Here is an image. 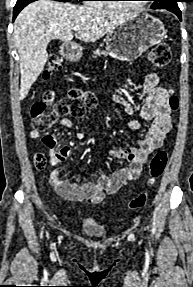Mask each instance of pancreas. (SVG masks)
Wrapping results in <instances>:
<instances>
[{
  "label": "pancreas",
  "mask_w": 193,
  "mask_h": 287,
  "mask_svg": "<svg viewBox=\"0 0 193 287\" xmlns=\"http://www.w3.org/2000/svg\"><path fill=\"white\" fill-rule=\"evenodd\" d=\"M107 56L108 55V53L106 52V51H104V50H96V51H94V54H93V58H96L97 56Z\"/></svg>",
  "instance_id": "cf45deb5"
}]
</instances>
